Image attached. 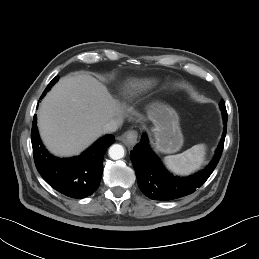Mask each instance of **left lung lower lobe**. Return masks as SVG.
Returning <instances> with one entry per match:
<instances>
[{
	"mask_svg": "<svg viewBox=\"0 0 259 259\" xmlns=\"http://www.w3.org/2000/svg\"><path fill=\"white\" fill-rule=\"evenodd\" d=\"M220 109L224 131L215 156L205 169L189 177H176L169 174L148 145L146 134L142 135L141 141L131 151L130 158L136 172L139 188L147 197L153 200H173L193 193L205 183L217 166L224 147L227 129L225 104H220Z\"/></svg>",
	"mask_w": 259,
	"mask_h": 259,
	"instance_id": "1",
	"label": "left lung lower lobe"
}]
</instances>
